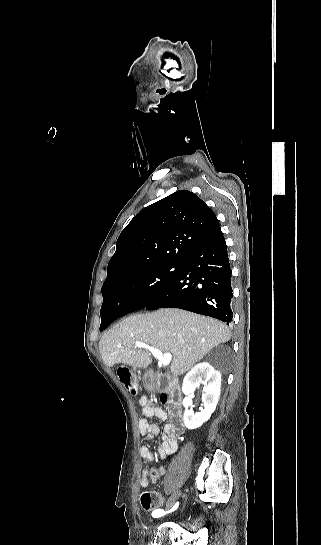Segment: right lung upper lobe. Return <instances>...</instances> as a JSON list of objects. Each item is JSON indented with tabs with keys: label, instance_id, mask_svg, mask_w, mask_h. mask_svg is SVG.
Masks as SVG:
<instances>
[{
	"label": "right lung upper lobe",
	"instance_id": "obj_1",
	"mask_svg": "<svg viewBox=\"0 0 321 545\" xmlns=\"http://www.w3.org/2000/svg\"><path fill=\"white\" fill-rule=\"evenodd\" d=\"M218 229L215 213L196 194L169 195L144 208L121 232L102 289L154 266L181 265Z\"/></svg>",
	"mask_w": 321,
	"mask_h": 545
}]
</instances>
